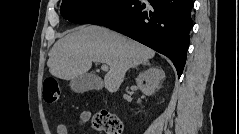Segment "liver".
Masks as SVG:
<instances>
[{
    "label": "liver",
    "mask_w": 239,
    "mask_h": 134,
    "mask_svg": "<svg viewBox=\"0 0 239 134\" xmlns=\"http://www.w3.org/2000/svg\"><path fill=\"white\" fill-rule=\"evenodd\" d=\"M154 55V50L107 28L84 25L54 44L47 65L53 76L70 80L86 74L92 62L105 63L110 67L105 88L116 92L127 70L147 63Z\"/></svg>",
    "instance_id": "6515ba94"
}]
</instances>
